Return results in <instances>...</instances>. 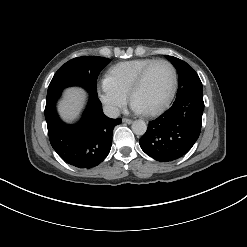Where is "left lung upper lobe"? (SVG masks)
Listing matches in <instances>:
<instances>
[{
  "mask_svg": "<svg viewBox=\"0 0 247 247\" xmlns=\"http://www.w3.org/2000/svg\"><path fill=\"white\" fill-rule=\"evenodd\" d=\"M165 57L171 61L177 69L179 85L176 97L193 91L203 92L201 80L189 64L173 56L166 55Z\"/></svg>",
  "mask_w": 247,
  "mask_h": 247,
  "instance_id": "left-lung-upper-lobe-1",
  "label": "left lung upper lobe"
}]
</instances>
